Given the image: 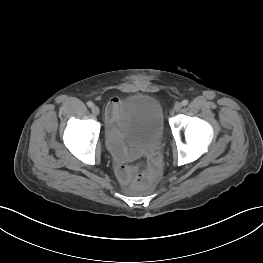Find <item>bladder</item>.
Instances as JSON below:
<instances>
[{
  "instance_id": "1",
  "label": "bladder",
  "mask_w": 263,
  "mask_h": 263,
  "mask_svg": "<svg viewBox=\"0 0 263 263\" xmlns=\"http://www.w3.org/2000/svg\"><path fill=\"white\" fill-rule=\"evenodd\" d=\"M118 132L129 144L149 147L163 137L164 120L159 102L146 94H134L121 105Z\"/></svg>"
}]
</instances>
